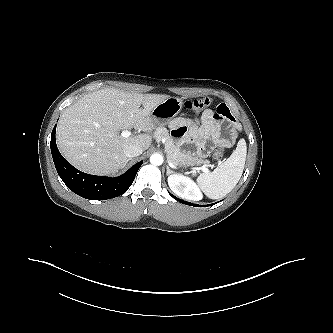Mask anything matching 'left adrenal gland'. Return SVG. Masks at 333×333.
Here are the masks:
<instances>
[{
    "label": "left adrenal gland",
    "mask_w": 333,
    "mask_h": 333,
    "mask_svg": "<svg viewBox=\"0 0 333 333\" xmlns=\"http://www.w3.org/2000/svg\"><path fill=\"white\" fill-rule=\"evenodd\" d=\"M166 169H167V173L166 174L170 175L172 173V171L170 170V168L168 166L166 167Z\"/></svg>",
    "instance_id": "left-adrenal-gland-1"
}]
</instances>
